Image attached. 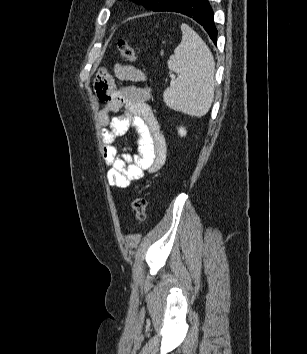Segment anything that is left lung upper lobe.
<instances>
[{"instance_id":"left-lung-upper-lobe-1","label":"left lung upper lobe","mask_w":307,"mask_h":354,"mask_svg":"<svg viewBox=\"0 0 307 354\" xmlns=\"http://www.w3.org/2000/svg\"><path fill=\"white\" fill-rule=\"evenodd\" d=\"M133 2L143 4L146 9L158 11L164 5L167 4L169 0H132Z\"/></svg>"}]
</instances>
